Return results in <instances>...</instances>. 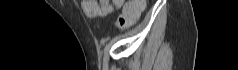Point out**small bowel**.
Wrapping results in <instances>:
<instances>
[{"label":"small bowel","mask_w":238,"mask_h":70,"mask_svg":"<svg viewBox=\"0 0 238 70\" xmlns=\"http://www.w3.org/2000/svg\"><path fill=\"white\" fill-rule=\"evenodd\" d=\"M110 2V0H99V1H94V3H86V1L82 2V8L85 12L86 8L88 7L89 4H92L94 6H98V7H102V8H107L110 10V6L108 5ZM118 8V7H117Z\"/></svg>","instance_id":"c3829d8e"}]
</instances>
